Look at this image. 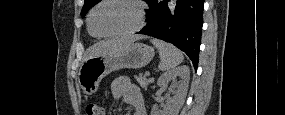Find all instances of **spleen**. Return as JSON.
Instances as JSON below:
<instances>
[{
  "instance_id": "3e777b00",
  "label": "spleen",
  "mask_w": 285,
  "mask_h": 115,
  "mask_svg": "<svg viewBox=\"0 0 285 115\" xmlns=\"http://www.w3.org/2000/svg\"><path fill=\"white\" fill-rule=\"evenodd\" d=\"M152 44L158 49L160 55L159 70L169 71L183 62L184 56L180 50L170 43L162 40L151 39Z\"/></svg>"
}]
</instances>
